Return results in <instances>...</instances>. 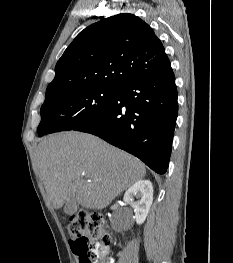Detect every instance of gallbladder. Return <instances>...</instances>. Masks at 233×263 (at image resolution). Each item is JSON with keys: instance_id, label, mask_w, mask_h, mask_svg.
I'll return each mask as SVG.
<instances>
[{"instance_id": "obj_1", "label": "gallbladder", "mask_w": 233, "mask_h": 263, "mask_svg": "<svg viewBox=\"0 0 233 263\" xmlns=\"http://www.w3.org/2000/svg\"><path fill=\"white\" fill-rule=\"evenodd\" d=\"M78 209V204L73 196L69 198L64 206V212L67 215H73Z\"/></svg>"}]
</instances>
